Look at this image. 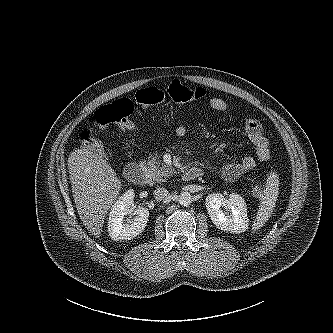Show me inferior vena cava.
I'll list each match as a JSON object with an SVG mask.
<instances>
[{
    "instance_id": "inferior-vena-cava-1",
    "label": "inferior vena cava",
    "mask_w": 333,
    "mask_h": 333,
    "mask_svg": "<svg viewBox=\"0 0 333 333\" xmlns=\"http://www.w3.org/2000/svg\"><path fill=\"white\" fill-rule=\"evenodd\" d=\"M153 194L157 201H161L168 196V190L165 188H157Z\"/></svg>"
}]
</instances>
